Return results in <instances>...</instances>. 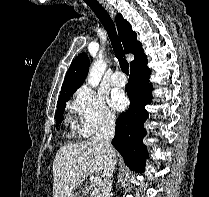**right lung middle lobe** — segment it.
<instances>
[{
  "instance_id": "right-lung-middle-lobe-1",
  "label": "right lung middle lobe",
  "mask_w": 209,
  "mask_h": 197,
  "mask_svg": "<svg viewBox=\"0 0 209 197\" xmlns=\"http://www.w3.org/2000/svg\"><path fill=\"white\" fill-rule=\"evenodd\" d=\"M76 90H73L66 94L63 98H60L58 100V105H57V111H56V119L57 121H60L63 117V113L66 107V102L70 98V96L75 92Z\"/></svg>"
}]
</instances>
